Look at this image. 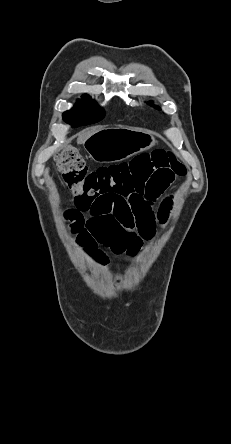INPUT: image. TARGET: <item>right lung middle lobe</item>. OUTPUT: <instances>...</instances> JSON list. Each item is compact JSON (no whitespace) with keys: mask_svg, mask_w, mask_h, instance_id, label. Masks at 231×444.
<instances>
[{"mask_svg":"<svg viewBox=\"0 0 231 444\" xmlns=\"http://www.w3.org/2000/svg\"><path fill=\"white\" fill-rule=\"evenodd\" d=\"M104 117V110L89 95H83L76 105L63 114L64 120L73 127L96 123Z\"/></svg>","mask_w":231,"mask_h":444,"instance_id":"obj_1","label":"right lung middle lobe"}]
</instances>
